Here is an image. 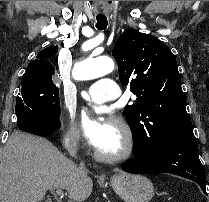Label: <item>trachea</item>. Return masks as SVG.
I'll return each mask as SVG.
<instances>
[{"label":"trachea","mask_w":209,"mask_h":202,"mask_svg":"<svg viewBox=\"0 0 209 202\" xmlns=\"http://www.w3.org/2000/svg\"><path fill=\"white\" fill-rule=\"evenodd\" d=\"M96 28L98 30H105L107 28L108 22H107V17L105 15H97L96 16Z\"/></svg>","instance_id":"3493384b"}]
</instances>
